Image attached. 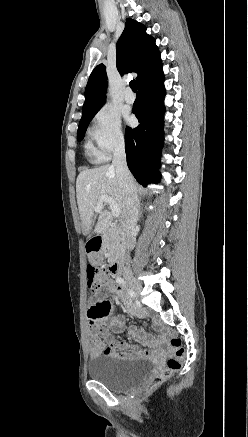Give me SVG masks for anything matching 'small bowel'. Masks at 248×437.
<instances>
[{
    "label": "small bowel",
    "instance_id": "1",
    "mask_svg": "<svg viewBox=\"0 0 248 437\" xmlns=\"http://www.w3.org/2000/svg\"><path fill=\"white\" fill-rule=\"evenodd\" d=\"M107 294H114L116 300H119L133 314L138 317L145 316L143 311L134 308L130 299L120 285H114L108 282L101 285L100 292L91 294L89 297L92 305H87L86 312L91 327L90 334V355L96 358L101 354L118 358H130L132 356H146L156 351L154 339L143 330H138L134 326L127 328L135 341L149 347V349L139 350L135 346L120 343L116 341L111 332L121 333L126 329V323L123 318L110 319L109 314L112 312L110 301L106 298ZM97 303L98 305H93Z\"/></svg>",
    "mask_w": 248,
    "mask_h": 437
}]
</instances>
